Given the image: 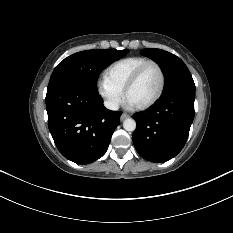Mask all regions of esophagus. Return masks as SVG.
<instances>
[{"mask_svg":"<svg viewBox=\"0 0 233 233\" xmlns=\"http://www.w3.org/2000/svg\"><path fill=\"white\" fill-rule=\"evenodd\" d=\"M128 117H129L128 114L123 113V114L120 116V119H121V121H123V120H125V119L128 118Z\"/></svg>","mask_w":233,"mask_h":233,"instance_id":"1","label":"esophagus"}]
</instances>
